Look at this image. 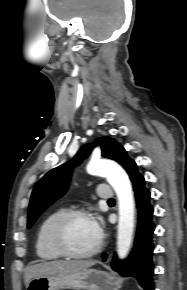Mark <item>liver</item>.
I'll return each mask as SVG.
<instances>
[{
	"label": "liver",
	"mask_w": 187,
	"mask_h": 290,
	"mask_svg": "<svg viewBox=\"0 0 187 290\" xmlns=\"http://www.w3.org/2000/svg\"><path fill=\"white\" fill-rule=\"evenodd\" d=\"M96 264L94 260L85 261H48L30 265L25 271V285L28 287L34 278L59 272H75L87 269Z\"/></svg>",
	"instance_id": "obj_1"
}]
</instances>
